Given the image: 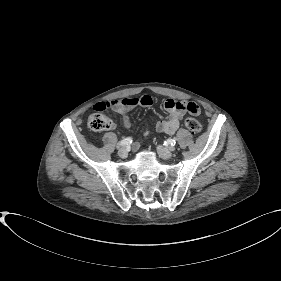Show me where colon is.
I'll list each match as a JSON object with an SVG mask.
<instances>
[{"label": "colon", "mask_w": 281, "mask_h": 281, "mask_svg": "<svg viewBox=\"0 0 281 281\" xmlns=\"http://www.w3.org/2000/svg\"><path fill=\"white\" fill-rule=\"evenodd\" d=\"M188 109L194 114H198L200 112L199 106L195 103H190L188 105ZM89 126L94 131H106L112 128L113 123L109 117L101 111H97L90 116ZM185 126L193 135H198L201 132V125L199 121L193 117L185 119Z\"/></svg>", "instance_id": "5ec220e1"}]
</instances>
